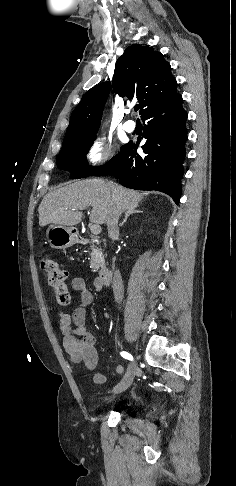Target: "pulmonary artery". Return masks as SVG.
<instances>
[{
	"instance_id": "1",
	"label": "pulmonary artery",
	"mask_w": 236,
	"mask_h": 486,
	"mask_svg": "<svg viewBox=\"0 0 236 486\" xmlns=\"http://www.w3.org/2000/svg\"><path fill=\"white\" fill-rule=\"evenodd\" d=\"M124 129L129 132V133H132L135 131L136 129V123L135 121L133 120H127L125 123H124Z\"/></svg>"
}]
</instances>
